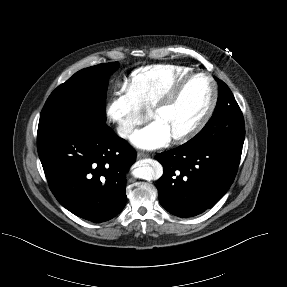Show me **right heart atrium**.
I'll list each match as a JSON object with an SVG mask.
<instances>
[{
    "instance_id": "right-heart-atrium-1",
    "label": "right heart atrium",
    "mask_w": 287,
    "mask_h": 287,
    "mask_svg": "<svg viewBox=\"0 0 287 287\" xmlns=\"http://www.w3.org/2000/svg\"><path fill=\"white\" fill-rule=\"evenodd\" d=\"M107 117L116 125L118 134L128 138L143 119V108L127 84H122L106 106Z\"/></svg>"
}]
</instances>
